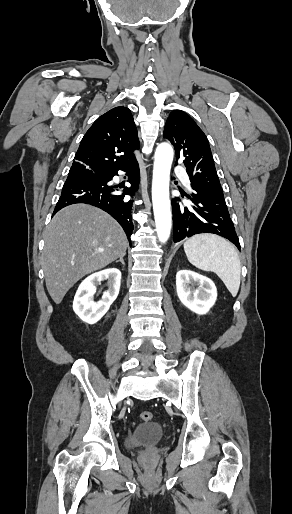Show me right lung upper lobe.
Instances as JSON below:
<instances>
[{
	"label": "right lung upper lobe",
	"mask_w": 292,
	"mask_h": 514,
	"mask_svg": "<svg viewBox=\"0 0 292 514\" xmlns=\"http://www.w3.org/2000/svg\"><path fill=\"white\" fill-rule=\"evenodd\" d=\"M140 148L130 110L115 107L100 116L84 135L69 174H106L136 161Z\"/></svg>",
	"instance_id": "cb5924a9"
}]
</instances>
